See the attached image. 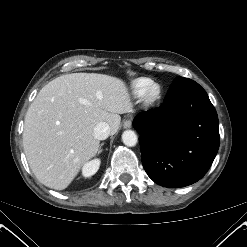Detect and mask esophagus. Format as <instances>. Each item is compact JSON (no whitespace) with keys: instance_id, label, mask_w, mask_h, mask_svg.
<instances>
[{"instance_id":"obj_1","label":"esophagus","mask_w":247,"mask_h":247,"mask_svg":"<svg viewBox=\"0 0 247 247\" xmlns=\"http://www.w3.org/2000/svg\"><path fill=\"white\" fill-rule=\"evenodd\" d=\"M131 126H132V120L131 119H127V120L124 121L123 127L125 129L131 128Z\"/></svg>"}]
</instances>
